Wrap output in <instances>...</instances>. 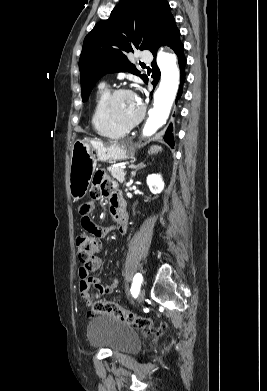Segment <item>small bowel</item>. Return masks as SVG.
Segmentation results:
<instances>
[{"instance_id":"small-bowel-1","label":"small bowel","mask_w":267,"mask_h":391,"mask_svg":"<svg viewBox=\"0 0 267 391\" xmlns=\"http://www.w3.org/2000/svg\"><path fill=\"white\" fill-rule=\"evenodd\" d=\"M90 196L93 199L107 198L109 200L111 211L115 218V226L101 227L94 223L90 216L94 209V204L92 202H85L80 205L79 213L81 226L86 234L102 238L114 228L125 234L127 230L125 202L116 183L103 170H97L93 175ZM100 266L101 259L94 257L88 265H83L79 269V295L87 306L92 304L94 298L112 293L118 285L116 278L111 283L104 284L101 279L91 275Z\"/></svg>"}]
</instances>
